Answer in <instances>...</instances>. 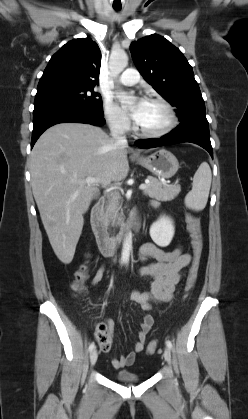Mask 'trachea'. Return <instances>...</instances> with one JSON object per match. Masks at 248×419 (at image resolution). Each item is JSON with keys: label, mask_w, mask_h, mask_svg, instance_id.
I'll use <instances>...</instances> for the list:
<instances>
[{"label": "trachea", "mask_w": 248, "mask_h": 419, "mask_svg": "<svg viewBox=\"0 0 248 419\" xmlns=\"http://www.w3.org/2000/svg\"><path fill=\"white\" fill-rule=\"evenodd\" d=\"M113 8H114L116 11L121 10V6H113Z\"/></svg>", "instance_id": "obj_1"}]
</instances>
